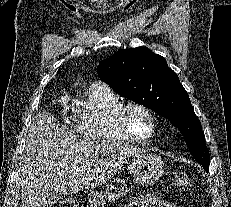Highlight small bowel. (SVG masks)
Listing matches in <instances>:
<instances>
[{
	"label": "small bowel",
	"instance_id": "obj_1",
	"mask_svg": "<svg viewBox=\"0 0 231 207\" xmlns=\"http://www.w3.org/2000/svg\"><path fill=\"white\" fill-rule=\"evenodd\" d=\"M127 207H178L175 203L166 201L155 195H145L132 200Z\"/></svg>",
	"mask_w": 231,
	"mask_h": 207
}]
</instances>
